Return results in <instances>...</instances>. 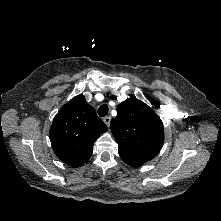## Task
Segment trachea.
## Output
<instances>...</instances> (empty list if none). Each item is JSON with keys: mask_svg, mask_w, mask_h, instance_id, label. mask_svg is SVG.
<instances>
[{"mask_svg": "<svg viewBox=\"0 0 221 221\" xmlns=\"http://www.w3.org/2000/svg\"><path fill=\"white\" fill-rule=\"evenodd\" d=\"M108 111H109L108 106L106 104H103L98 109V115L100 117H104V116H106L108 114Z\"/></svg>", "mask_w": 221, "mask_h": 221, "instance_id": "3493384b", "label": "trachea"}]
</instances>
